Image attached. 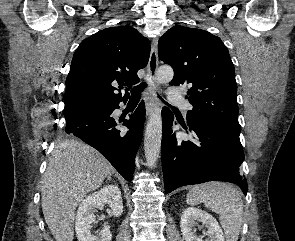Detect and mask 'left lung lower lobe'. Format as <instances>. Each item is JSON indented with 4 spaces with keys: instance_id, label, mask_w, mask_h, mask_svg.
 I'll use <instances>...</instances> for the list:
<instances>
[{
    "instance_id": "obj_1",
    "label": "left lung lower lobe",
    "mask_w": 295,
    "mask_h": 241,
    "mask_svg": "<svg viewBox=\"0 0 295 241\" xmlns=\"http://www.w3.org/2000/svg\"><path fill=\"white\" fill-rule=\"evenodd\" d=\"M174 116L162 110V168L165 194L190 184L227 181L239 185L246 195L247 181L239 171L244 153L239 135L203 124L188 123L194 141H181L172 134ZM183 128L187 130L184 125Z\"/></svg>"
}]
</instances>
